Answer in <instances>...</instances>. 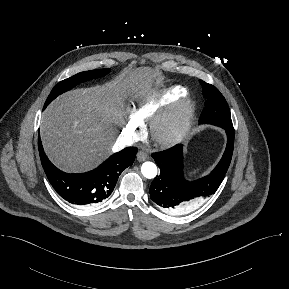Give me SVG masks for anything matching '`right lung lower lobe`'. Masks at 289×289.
<instances>
[{"label":"right lung lower lobe","mask_w":289,"mask_h":289,"mask_svg":"<svg viewBox=\"0 0 289 289\" xmlns=\"http://www.w3.org/2000/svg\"><path fill=\"white\" fill-rule=\"evenodd\" d=\"M38 148L42 166L56 192L66 201L76 205H94L108 198L119 178L133 164L136 147H127L113 154L98 168L81 174H68L56 168L44 153L40 136Z\"/></svg>","instance_id":"obj_1"}]
</instances>
